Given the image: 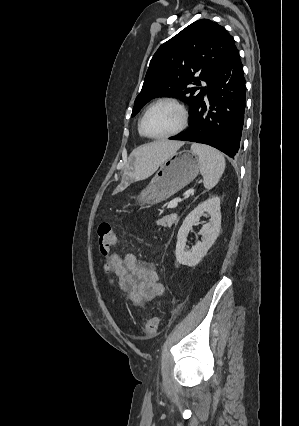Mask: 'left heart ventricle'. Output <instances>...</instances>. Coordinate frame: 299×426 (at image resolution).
Listing matches in <instances>:
<instances>
[{
  "instance_id": "obj_1",
  "label": "left heart ventricle",
  "mask_w": 299,
  "mask_h": 426,
  "mask_svg": "<svg viewBox=\"0 0 299 426\" xmlns=\"http://www.w3.org/2000/svg\"><path fill=\"white\" fill-rule=\"evenodd\" d=\"M181 122V113L172 104L153 107L145 119V129L150 135L160 136L174 131Z\"/></svg>"
}]
</instances>
